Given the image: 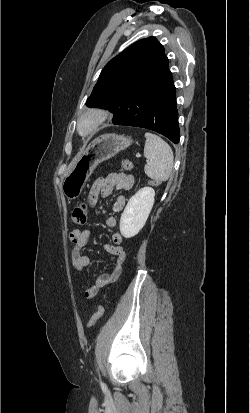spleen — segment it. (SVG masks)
Here are the masks:
<instances>
[{
	"label": "spleen",
	"instance_id": "1",
	"mask_svg": "<svg viewBox=\"0 0 250 413\" xmlns=\"http://www.w3.org/2000/svg\"><path fill=\"white\" fill-rule=\"evenodd\" d=\"M145 138L144 156L147 158L145 174L159 183L168 180L174 162L171 147L155 134L147 132Z\"/></svg>",
	"mask_w": 250,
	"mask_h": 413
}]
</instances>
